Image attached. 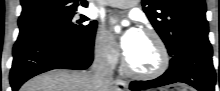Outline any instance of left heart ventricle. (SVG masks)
Returning a JSON list of instances; mask_svg holds the SVG:
<instances>
[{"label": "left heart ventricle", "mask_w": 220, "mask_h": 91, "mask_svg": "<svg viewBox=\"0 0 220 91\" xmlns=\"http://www.w3.org/2000/svg\"><path fill=\"white\" fill-rule=\"evenodd\" d=\"M125 57L129 66L140 72H150L159 64V52L155 42L144 33Z\"/></svg>", "instance_id": "1"}]
</instances>
